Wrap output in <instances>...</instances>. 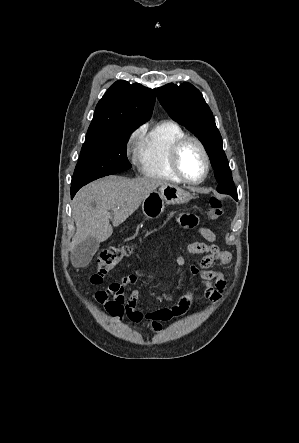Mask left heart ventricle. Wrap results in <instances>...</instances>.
I'll return each instance as SVG.
<instances>
[{"label": "left heart ventricle", "instance_id": "left-heart-ventricle-1", "mask_svg": "<svg viewBox=\"0 0 299 443\" xmlns=\"http://www.w3.org/2000/svg\"><path fill=\"white\" fill-rule=\"evenodd\" d=\"M180 165L185 175L192 180L203 175L204 159L195 143L190 142L184 146L180 154Z\"/></svg>", "mask_w": 299, "mask_h": 443}]
</instances>
